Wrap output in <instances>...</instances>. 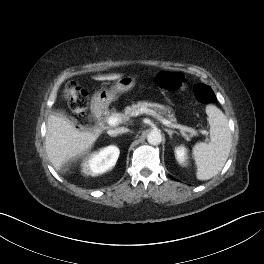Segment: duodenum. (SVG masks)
I'll list each match as a JSON object with an SVG mask.
<instances>
[{
    "label": "duodenum",
    "instance_id": "1",
    "mask_svg": "<svg viewBox=\"0 0 264 264\" xmlns=\"http://www.w3.org/2000/svg\"><path fill=\"white\" fill-rule=\"evenodd\" d=\"M92 113L95 116L97 123H101L104 116L102 107L99 104H95L92 108Z\"/></svg>",
    "mask_w": 264,
    "mask_h": 264
}]
</instances>
